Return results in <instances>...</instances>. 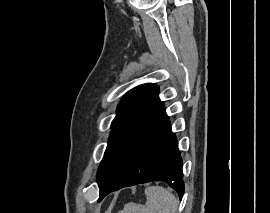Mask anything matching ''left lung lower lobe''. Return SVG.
Instances as JSON below:
<instances>
[{
  "label": "left lung lower lobe",
  "instance_id": "obj_1",
  "mask_svg": "<svg viewBox=\"0 0 270 213\" xmlns=\"http://www.w3.org/2000/svg\"><path fill=\"white\" fill-rule=\"evenodd\" d=\"M151 181L166 182L182 199V159L163 105L140 124L121 149L98 184L99 201L112 191Z\"/></svg>",
  "mask_w": 270,
  "mask_h": 213
}]
</instances>
